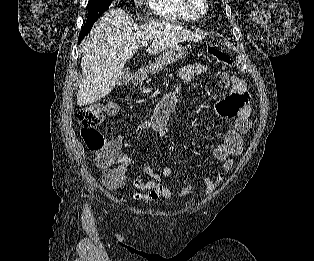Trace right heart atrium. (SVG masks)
<instances>
[{
    "instance_id": "obj_1",
    "label": "right heart atrium",
    "mask_w": 314,
    "mask_h": 261,
    "mask_svg": "<svg viewBox=\"0 0 314 261\" xmlns=\"http://www.w3.org/2000/svg\"><path fill=\"white\" fill-rule=\"evenodd\" d=\"M144 1L145 0H134L135 4L138 6L142 5Z\"/></svg>"
}]
</instances>
